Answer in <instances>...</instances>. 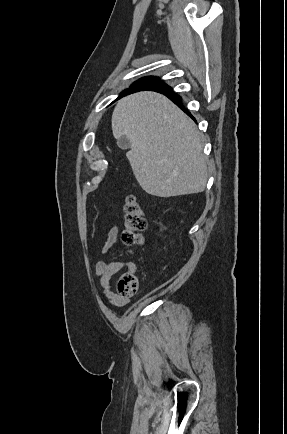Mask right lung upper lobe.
Returning a JSON list of instances; mask_svg holds the SVG:
<instances>
[{"mask_svg":"<svg viewBox=\"0 0 287 434\" xmlns=\"http://www.w3.org/2000/svg\"><path fill=\"white\" fill-rule=\"evenodd\" d=\"M165 86H167L164 83L156 84V85H150V86H139V87H133L128 90V93L136 92V91H142V90H151V91H159L162 90ZM121 96H124V93L121 94Z\"/></svg>","mask_w":287,"mask_h":434,"instance_id":"1","label":"right lung upper lobe"}]
</instances>
